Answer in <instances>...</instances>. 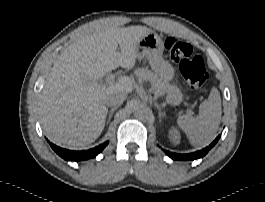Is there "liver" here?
<instances>
[{
    "mask_svg": "<svg viewBox=\"0 0 265 202\" xmlns=\"http://www.w3.org/2000/svg\"><path fill=\"white\" fill-rule=\"evenodd\" d=\"M151 32L145 26L118 28L94 21L63 50L38 99L40 122L52 143L77 149L100 136L108 113L106 96L114 91L131 93L134 85L128 76L112 84L101 78L119 66L134 68L138 42Z\"/></svg>",
    "mask_w": 265,
    "mask_h": 202,
    "instance_id": "1",
    "label": "liver"
}]
</instances>
